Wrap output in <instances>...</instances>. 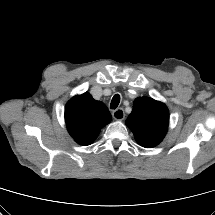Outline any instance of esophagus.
Wrapping results in <instances>:
<instances>
[{"mask_svg": "<svg viewBox=\"0 0 215 215\" xmlns=\"http://www.w3.org/2000/svg\"><path fill=\"white\" fill-rule=\"evenodd\" d=\"M112 116L115 120H123L125 117L124 110L122 108H118L112 112Z\"/></svg>", "mask_w": 215, "mask_h": 215, "instance_id": "1", "label": "esophagus"}]
</instances>
